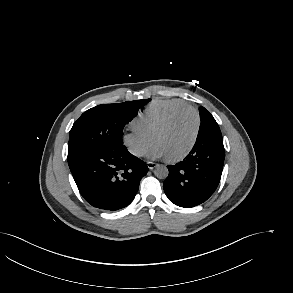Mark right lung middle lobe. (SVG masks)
Instances as JSON below:
<instances>
[{
	"label": "right lung middle lobe",
	"instance_id": "dd1d6c3e",
	"mask_svg": "<svg viewBox=\"0 0 293 293\" xmlns=\"http://www.w3.org/2000/svg\"><path fill=\"white\" fill-rule=\"evenodd\" d=\"M149 101L103 104L84 112L69 133L68 163L88 152L123 144V127Z\"/></svg>",
	"mask_w": 293,
	"mask_h": 293
}]
</instances>
